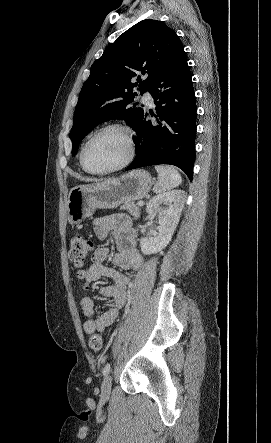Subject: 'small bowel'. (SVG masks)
Wrapping results in <instances>:
<instances>
[{
    "mask_svg": "<svg viewBox=\"0 0 271 443\" xmlns=\"http://www.w3.org/2000/svg\"><path fill=\"white\" fill-rule=\"evenodd\" d=\"M94 231L101 240L113 239L117 252L113 258L114 264L124 271H137L143 262L142 256L136 249V232L130 219L125 215H112L98 218L94 222ZM109 256L107 247L97 248L86 269L87 282L108 278L113 281L111 285L99 287L102 296L111 300L102 314L94 319V302L90 297L80 300V311L85 317L83 329L87 334L96 331L102 332L117 319L127 299L130 284L128 274L114 267L104 264Z\"/></svg>",
    "mask_w": 271,
    "mask_h": 443,
    "instance_id": "1",
    "label": "small bowel"
}]
</instances>
